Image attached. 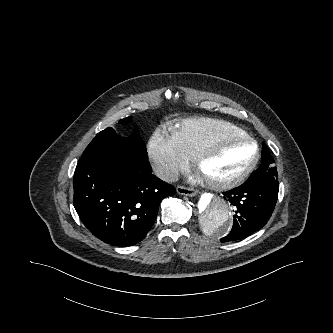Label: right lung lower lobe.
<instances>
[{"mask_svg":"<svg viewBox=\"0 0 333 333\" xmlns=\"http://www.w3.org/2000/svg\"><path fill=\"white\" fill-rule=\"evenodd\" d=\"M172 185L152 174L148 161L123 157L80 159L74 174V207L103 242L124 247L142 241Z\"/></svg>","mask_w":333,"mask_h":333,"instance_id":"obj_1","label":"right lung lower lobe"}]
</instances>
